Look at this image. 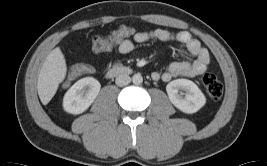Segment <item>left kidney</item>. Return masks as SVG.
Wrapping results in <instances>:
<instances>
[{"label":"left kidney","instance_id":"5707ae66","mask_svg":"<svg viewBox=\"0 0 267 166\" xmlns=\"http://www.w3.org/2000/svg\"><path fill=\"white\" fill-rule=\"evenodd\" d=\"M166 91L172 104L184 113H195L206 103L204 94L191 80H173L167 84ZM181 91L185 92V96Z\"/></svg>","mask_w":267,"mask_h":166}]
</instances>
